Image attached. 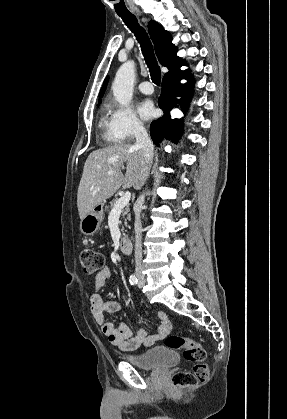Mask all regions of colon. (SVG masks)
Masks as SVG:
<instances>
[{"label":"colon","instance_id":"obj_1","mask_svg":"<svg viewBox=\"0 0 287 419\" xmlns=\"http://www.w3.org/2000/svg\"><path fill=\"white\" fill-rule=\"evenodd\" d=\"M79 260L86 275H92L104 268V256L92 248L82 250ZM165 345L173 350L181 351L184 359L193 363L192 371H180L172 376L171 381L174 386L194 387L207 380L209 371L205 362L206 353L199 343L171 334L166 336Z\"/></svg>","mask_w":287,"mask_h":419}]
</instances>
